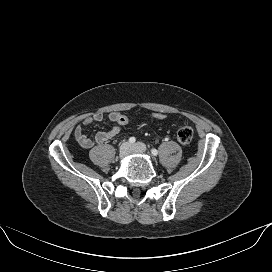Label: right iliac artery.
Returning a JSON list of instances; mask_svg holds the SVG:
<instances>
[{"instance_id": "right-iliac-artery-1", "label": "right iliac artery", "mask_w": 272, "mask_h": 272, "mask_svg": "<svg viewBox=\"0 0 272 272\" xmlns=\"http://www.w3.org/2000/svg\"><path fill=\"white\" fill-rule=\"evenodd\" d=\"M135 141H136L135 137H130L129 138V143L133 144V143H135Z\"/></svg>"}]
</instances>
